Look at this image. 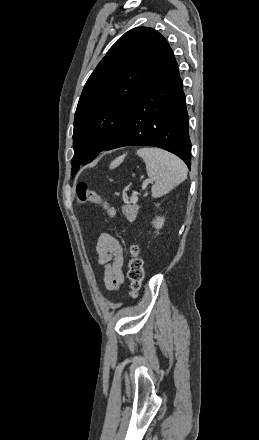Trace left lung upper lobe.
Segmentation results:
<instances>
[{
	"label": "left lung upper lobe",
	"instance_id": "left-lung-upper-lobe-1",
	"mask_svg": "<svg viewBox=\"0 0 259 440\" xmlns=\"http://www.w3.org/2000/svg\"><path fill=\"white\" fill-rule=\"evenodd\" d=\"M149 27L126 32L87 80L74 118L72 175L116 137L146 87L166 45Z\"/></svg>",
	"mask_w": 259,
	"mask_h": 440
}]
</instances>
